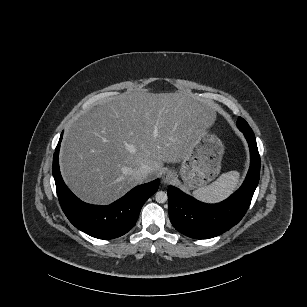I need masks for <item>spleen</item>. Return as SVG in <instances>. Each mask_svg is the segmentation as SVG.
Segmentation results:
<instances>
[{"instance_id":"1","label":"spleen","mask_w":307,"mask_h":307,"mask_svg":"<svg viewBox=\"0 0 307 307\" xmlns=\"http://www.w3.org/2000/svg\"><path fill=\"white\" fill-rule=\"evenodd\" d=\"M241 172L232 170L223 174L208 187H202L192 192V197L205 204H218L230 197L240 184Z\"/></svg>"}]
</instances>
